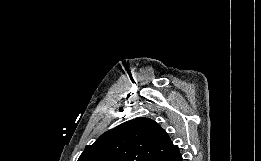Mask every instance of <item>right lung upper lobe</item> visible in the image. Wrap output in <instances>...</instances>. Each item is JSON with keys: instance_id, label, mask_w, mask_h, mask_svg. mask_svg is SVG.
I'll return each mask as SVG.
<instances>
[{"instance_id": "cb5924a9", "label": "right lung upper lobe", "mask_w": 261, "mask_h": 161, "mask_svg": "<svg viewBox=\"0 0 261 161\" xmlns=\"http://www.w3.org/2000/svg\"><path fill=\"white\" fill-rule=\"evenodd\" d=\"M178 151L155 121L136 118L103 133L78 161H160Z\"/></svg>"}]
</instances>
